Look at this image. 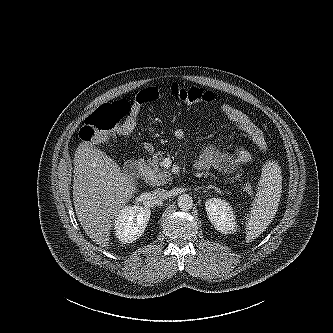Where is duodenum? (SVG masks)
I'll return each mask as SVG.
<instances>
[{
	"label": "duodenum",
	"instance_id": "410a0bca",
	"mask_svg": "<svg viewBox=\"0 0 333 333\" xmlns=\"http://www.w3.org/2000/svg\"><path fill=\"white\" fill-rule=\"evenodd\" d=\"M145 164L141 160H130L125 164V174L130 178H139L143 175Z\"/></svg>",
	"mask_w": 333,
	"mask_h": 333
}]
</instances>
